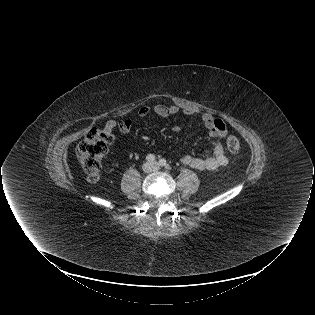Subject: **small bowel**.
<instances>
[{"mask_svg":"<svg viewBox=\"0 0 315 315\" xmlns=\"http://www.w3.org/2000/svg\"><path fill=\"white\" fill-rule=\"evenodd\" d=\"M179 107L175 105L157 104L154 106H143L138 112V118L147 117L150 114H155L160 117H169L179 112ZM189 115V110L184 111ZM202 122L209 131V134L215 140L212 143V154L205 158L193 156L189 153H185L181 157V162L187 166H190L196 170H216L219 167L226 166L229 162L226 152L222 144L217 140L227 135V129L224 122L217 119L212 114L205 113L202 115ZM133 126V120L130 118L123 119L121 121L109 120L104 126V130L108 133H112L114 129L118 128L122 132H128ZM173 130L177 133L181 132L180 126H174Z\"/></svg>","mask_w":315,"mask_h":315,"instance_id":"obj_1","label":"small bowel"}]
</instances>
